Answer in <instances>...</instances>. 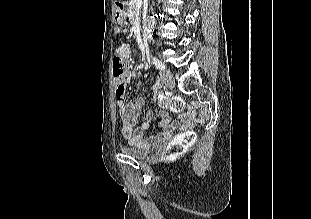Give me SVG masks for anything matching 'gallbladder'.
I'll use <instances>...</instances> for the list:
<instances>
[{
  "instance_id": "gallbladder-1",
  "label": "gallbladder",
  "mask_w": 311,
  "mask_h": 219,
  "mask_svg": "<svg viewBox=\"0 0 311 219\" xmlns=\"http://www.w3.org/2000/svg\"><path fill=\"white\" fill-rule=\"evenodd\" d=\"M119 31H120V28L116 27L115 28V33L117 34V33H119Z\"/></svg>"
}]
</instances>
